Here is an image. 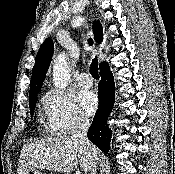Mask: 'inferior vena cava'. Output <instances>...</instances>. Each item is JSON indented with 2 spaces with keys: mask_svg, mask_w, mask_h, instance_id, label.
Returning a JSON list of instances; mask_svg holds the SVG:
<instances>
[{
  "mask_svg": "<svg viewBox=\"0 0 175 174\" xmlns=\"http://www.w3.org/2000/svg\"><path fill=\"white\" fill-rule=\"evenodd\" d=\"M89 128V121L85 118H78L73 129V139L85 146L92 158L90 174H97V153L96 147L88 140L87 132Z\"/></svg>",
  "mask_w": 175,
  "mask_h": 174,
  "instance_id": "602c4592",
  "label": "inferior vena cava"
}]
</instances>
